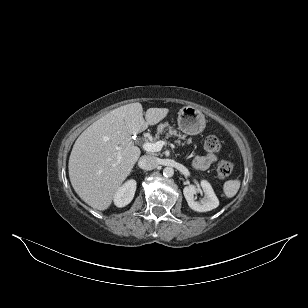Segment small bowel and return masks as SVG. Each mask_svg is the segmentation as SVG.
<instances>
[{
  "instance_id": "small-bowel-1",
  "label": "small bowel",
  "mask_w": 308,
  "mask_h": 308,
  "mask_svg": "<svg viewBox=\"0 0 308 308\" xmlns=\"http://www.w3.org/2000/svg\"><path fill=\"white\" fill-rule=\"evenodd\" d=\"M217 161L215 154H206L204 156H197L193 159V166L200 170L209 168L213 163Z\"/></svg>"
}]
</instances>
